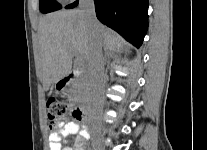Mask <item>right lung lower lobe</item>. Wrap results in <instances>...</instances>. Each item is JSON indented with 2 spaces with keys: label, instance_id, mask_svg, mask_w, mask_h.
Returning <instances> with one entry per match:
<instances>
[{
  "label": "right lung lower lobe",
  "instance_id": "1",
  "mask_svg": "<svg viewBox=\"0 0 207 150\" xmlns=\"http://www.w3.org/2000/svg\"><path fill=\"white\" fill-rule=\"evenodd\" d=\"M97 18L137 48L148 28V0H94ZM78 0L66 6L70 9Z\"/></svg>",
  "mask_w": 207,
  "mask_h": 150
}]
</instances>
